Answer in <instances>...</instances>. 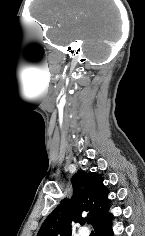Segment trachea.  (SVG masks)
Wrapping results in <instances>:
<instances>
[{
    "mask_svg": "<svg viewBox=\"0 0 145 236\" xmlns=\"http://www.w3.org/2000/svg\"><path fill=\"white\" fill-rule=\"evenodd\" d=\"M86 221H87L88 224H90L91 223V218H87Z\"/></svg>",
    "mask_w": 145,
    "mask_h": 236,
    "instance_id": "3493384b",
    "label": "trachea"
}]
</instances>
